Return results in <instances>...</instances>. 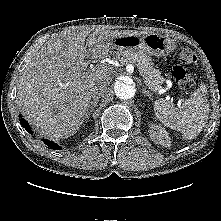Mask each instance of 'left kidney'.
Returning a JSON list of instances; mask_svg holds the SVG:
<instances>
[{
    "mask_svg": "<svg viewBox=\"0 0 221 221\" xmlns=\"http://www.w3.org/2000/svg\"><path fill=\"white\" fill-rule=\"evenodd\" d=\"M150 138L156 143L164 147H169L171 145V139L168 132L162 128L160 125H151Z\"/></svg>",
    "mask_w": 221,
    "mask_h": 221,
    "instance_id": "1",
    "label": "left kidney"
}]
</instances>
